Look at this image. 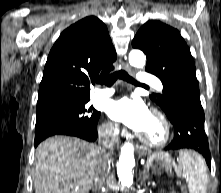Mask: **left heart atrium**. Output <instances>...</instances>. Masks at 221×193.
<instances>
[{
    "label": "left heart atrium",
    "instance_id": "1",
    "mask_svg": "<svg viewBox=\"0 0 221 193\" xmlns=\"http://www.w3.org/2000/svg\"><path fill=\"white\" fill-rule=\"evenodd\" d=\"M107 114L111 119L139 132L150 112L141 99L134 96H123L108 103Z\"/></svg>",
    "mask_w": 221,
    "mask_h": 193
}]
</instances>
